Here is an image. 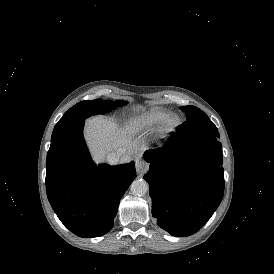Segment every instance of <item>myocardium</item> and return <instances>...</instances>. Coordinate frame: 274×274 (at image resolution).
<instances>
[{
	"instance_id": "f54148a6",
	"label": "myocardium",
	"mask_w": 274,
	"mask_h": 274,
	"mask_svg": "<svg viewBox=\"0 0 274 274\" xmlns=\"http://www.w3.org/2000/svg\"><path fill=\"white\" fill-rule=\"evenodd\" d=\"M178 116V122L170 126V120L174 117ZM184 119L181 113L179 112H169L162 119L161 123L157 126L155 130V140L157 143L162 144L166 141L171 135L175 134L183 125Z\"/></svg>"
}]
</instances>
